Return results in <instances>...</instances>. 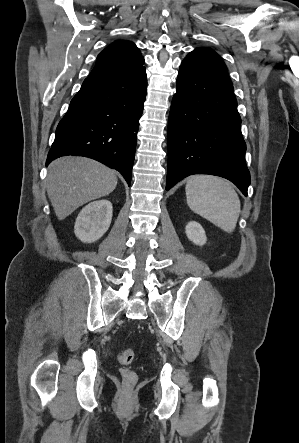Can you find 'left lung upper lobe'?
<instances>
[{"label":"left lung upper lobe","mask_w":299,"mask_h":443,"mask_svg":"<svg viewBox=\"0 0 299 443\" xmlns=\"http://www.w3.org/2000/svg\"><path fill=\"white\" fill-rule=\"evenodd\" d=\"M182 65L232 84L222 58L209 48H196L186 56Z\"/></svg>","instance_id":"obj_1"}]
</instances>
